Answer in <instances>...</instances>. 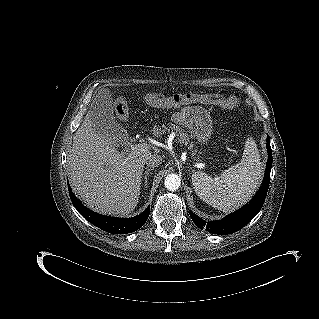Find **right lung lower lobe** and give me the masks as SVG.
Returning a JSON list of instances; mask_svg holds the SVG:
<instances>
[{"label":"right lung lower lobe","instance_id":"right-lung-lower-lobe-1","mask_svg":"<svg viewBox=\"0 0 319 319\" xmlns=\"http://www.w3.org/2000/svg\"><path fill=\"white\" fill-rule=\"evenodd\" d=\"M68 189L71 201L76 210L90 223L106 232L113 234H126L134 232L142 227L148 219L150 207H148L142 214L128 219L100 215L83 206L73 194L69 186Z\"/></svg>","mask_w":319,"mask_h":319}]
</instances>
